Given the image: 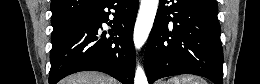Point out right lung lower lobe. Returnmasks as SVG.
Segmentation results:
<instances>
[{"label": "right lung lower lobe", "instance_id": "right-lung-lower-lobe-1", "mask_svg": "<svg viewBox=\"0 0 260 84\" xmlns=\"http://www.w3.org/2000/svg\"><path fill=\"white\" fill-rule=\"evenodd\" d=\"M139 0H101L94 8L66 26L52 40L49 84L79 71L93 70L111 75L123 84H133L135 50L133 29ZM113 9V20H109ZM110 36L99 31L102 23Z\"/></svg>", "mask_w": 260, "mask_h": 84}]
</instances>
